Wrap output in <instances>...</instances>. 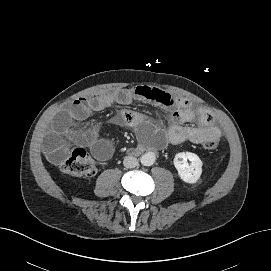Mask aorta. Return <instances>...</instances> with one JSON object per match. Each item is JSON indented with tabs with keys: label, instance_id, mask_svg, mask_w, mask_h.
I'll return each instance as SVG.
<instances>
[{
	"label": "aorta",
	"instance_id": "aorta-1",
	"mask_svg": "<svg viewBox=\"0 0 271 271\" xmlns=\"http://www.w3.org/2000/svg\"><path fill=\"white\" fill-rule=\"evenodd\" d=\"M155 154L152 152L145 153L141 156V164L144 166H151L155 162Z\"/></svg>",
	"mask_w": 271,
	"mask_h": 271
}]
</instances>
